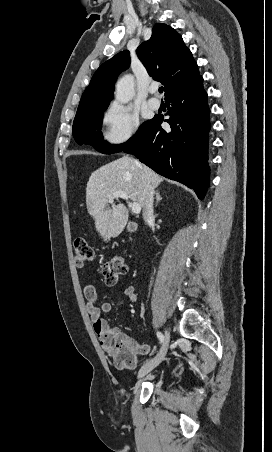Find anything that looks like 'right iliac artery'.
<instances>
[{
	"instance_id": "82829eb1",
	"label": "right iliac artery",
	"mask_w": 272,
	"mask_h": 452,
	"mask_svg": "<svg viewBox=\"0 0 272 452\" xmlns=\"http://www.w3.org/2000/svg\"><path fill=\"white\" fill-rule=\"evenodd\" d=\"M156 334H157L158 339H159L160 342L162 343V342L164 341V336H163V334H162L161 332H157Z\"/></svg>"
}]
</instances>
